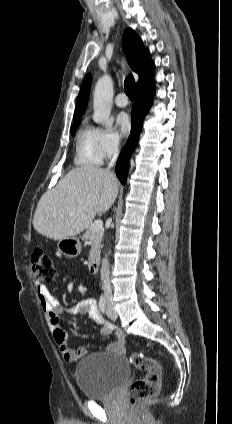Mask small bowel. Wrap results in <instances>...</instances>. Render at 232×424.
<instances>
[{
  "label": "small bowel",
  "mask_w": 232,
  "mask_h": 424,
  "mask_svg": "<svg viewBox=\"0 0 232 424\" xmlns=\"http://www.w3.org/2000/svg\"><path fill=\"white\" fill-rule=\"evenodd\" d=\"M76 281H72L68 284V290L71 292L74 290ZM35 290L38 302L44 313L49 328L52 332L53 338L59 346L60 353L63 359L67 362H76L80 358L84 357L88 353L86 347H79L74 349L69 346L67 341V333L61 322L63 315L67 316H78L87 315L93 319L96 323L101 325L100 334L108 336L114 333L116 340L107 346V351L115 354H122L126 350V337L122 330L117 329L111 323L105 321L103 316L100 314L95 299L84 298L70 307H62L57 303V299L51 292V290L45 284L41 282H35Z\"/></svg>",
  "instance_id": "1"
}]
</instances>
